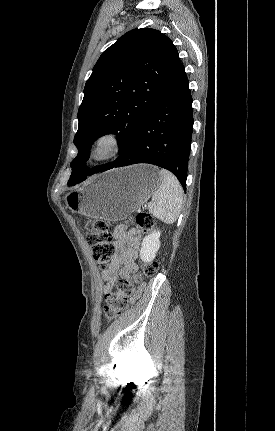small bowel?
<instances>
[{"instance_id": "c3829d8e", "label": "small bowel", "mask_w": 275, "mask_h": 431, "mask_svg": "<svg viewBox=\"0 0 275 431\" xmlns=\"http://www.w3.org/2000/svg\"><path fill=\"white\" fill-rule=\"evenodd\" d=\"M113 245L115 255L108 266L102 271V279L105 282L104 293H109L119 278L128 279L136 270L135 259L140 248L141 234L137 229L117 227L113 232Z\"/></svg>"}]
</instances>
